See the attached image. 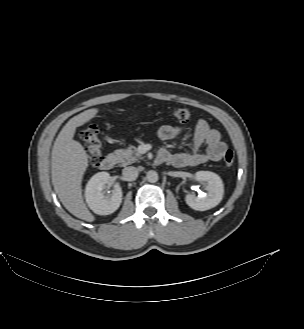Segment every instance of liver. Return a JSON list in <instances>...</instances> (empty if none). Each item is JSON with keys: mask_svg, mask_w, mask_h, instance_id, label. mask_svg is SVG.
<instances>
[{"mask_svg": "<svg viewBox=\"0 0 304 329\" xmlns=\"http://www.w3.org/2000/svg\"><path fill=\"white\" fill-rule=\"evenodd\" d=\"M91 108L71 118L57 136L51 157V176L54 190L64 207L74 216L93 222L82 196L81 183L88 167V157L83 146L73 139L76 128L93 119L98 113Z\"/></svg>", "mask_w": 304, "mask_h": 329, "instance_id": "obj_1", "label": "liver"}]
</instances>
